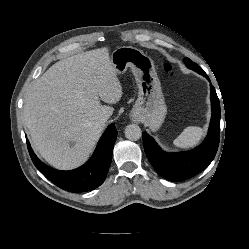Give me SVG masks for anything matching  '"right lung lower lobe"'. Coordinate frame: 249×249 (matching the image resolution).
<instances>
[{"label": "right lung lower lobe", "instance_id": "obj_1", "mask_svg": "<svg viewBox=\"0 0 249 249\" xmlns=\"http://www.w3.org/2000/svg\"><path fill=\"white\" fill-rule=\"evenodd\" d=\"M117 137L114 124H110L98 142L92 157L81 167L60 171L41 162L27 141L30 157L36 168L56 186L70 192L90 191L100 186L111 164L113 146Z\"/></svg>", "mask_w": 249, "mask_h": 249}]
</instances>
